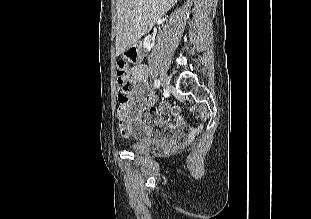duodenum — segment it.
I'll return each instance as SVG.
<instances>
[{
  "label": "duodenum",
  "mask_w": 311,
  "mask_h": 219,
  "mask_svg": "<svg viewBox=\"0 0 311 219\" xmlns=\"http://www.w3.org/2000/svg\"><path fill=\"white\" fill-rule=\"evenodd\" d=\"M130 52L132 53V56H133V58L136 61H140L141 60L140 46L131 48Z\"/></svg>",
  "instance_id": "duodenum-1"
}]
</instances>
